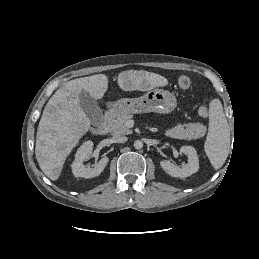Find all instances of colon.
I'll use <instances>...</instances> for the list:
<instances>
[{
  "label": "colon",
  "instance_id": "5ec220e1",
  "mask_svg": "<svg viewBox=\"0 0 259 259\" xmlns=\"http://www.w3.org/2000/svg\"><path fill=\"white\" fill-rule=\"evenodd\" d=\"M192 84V81L191 79L186 76V75H182L178 78V86L181 88V89H188L190 88ZM198 113L201 117H207L208 114H209V108L207 105L205 104H202L199 109H198Z\"/></svg>",
  "mask_w": 259,
  "mask_h": 259
}]
</instances>
